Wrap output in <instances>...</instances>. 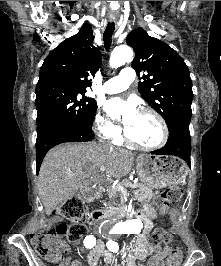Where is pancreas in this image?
Instances as JSON below:
<instances>
[{
	"label": "pancreas",
	"mask_w": 221,
	"mask_h": 266,
	"mask_svg": "<svg viewBox=\"0 0 221 266\" xmlns=\"http://www.w3.org/2000/svg\"><path fill=\"white\" fill-rule=\"evenodd\" d=\"M120 185H122L124 188H127V187H130L132 189L136 188V190H134V194L139 201L150 200L154 197L155 193H158V192L153 193L152 189L144 183H140L138 185H133L127 179L123 180L120 183ZM106 191H107L108 197L110 199V203L108 204V206L115 205L116 204L115 201H117V200H119V202L121 204L124 203V196H123L122 192L117 187H109V188H107ZM107 208H109V207H107Z\"/></svg>",
	"instance_id": "1"
}]
</instances>
